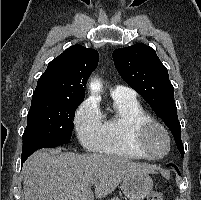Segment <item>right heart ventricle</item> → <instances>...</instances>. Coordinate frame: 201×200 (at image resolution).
Returning <instances> with one entry per match:
<instances>
[{
    "label": "right heart ventricle",
    "instance_id": "e07e8e85",
    "mask_svg": "<svg viewBox=\"0 0 201 200\" xmlns=\"http://www.w3.org/2000/svg\"><path fill=\"white\" fill-rule=\"evenodd\" d=\"M101 116V141L96 151L130 159H145L131 138L132 126L148 118L135 97L112 95V114Z\"/></svg>",
    "mask_w": 201,
    "mask_h": 200
}]
</instances>
